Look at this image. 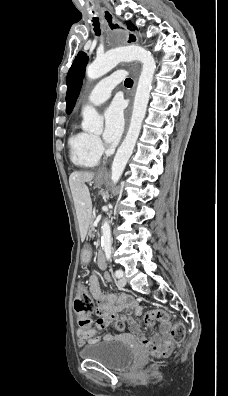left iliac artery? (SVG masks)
I'll return each instance as SVG.
<instances>
[{"instance_id": "left-iliac-artery-1", "label": "left iliac artery", "mask_w": 228, "mask_h": 396, "mask_svg": "<svg viewBox=\"0 0 228 396\" xmlns=\"http://www.w3.org/2000/svg\"><path fill=\"white\" fill-rule=\"evenodd\" d=\"M110 256H111V252H110V251H106V257H107V259H109ZM122 275H123V272H122L121 270H116V271H115V276H116L117 278L122 277Z\"/></svg>"}]
</instances>
